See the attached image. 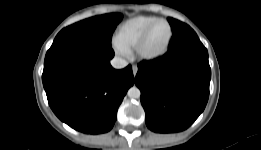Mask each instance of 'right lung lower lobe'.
<instances>
[{"instance_id":"98d812e1","label":"right lung lower lobe","mask_w":261,"mask_h":150,"mask_svg":"<svg viewBox=\"0 0 261 150\" xmlns=\"http://www.w3.org/2000/svg\"><path fill=\"white\" fill-rule=\"evenodd\" d=\"M111 45L64 42L51 46L42 74L48 103L56 116L87 134L111 130L127 90L134 84L132 67L110 65Z\"/></svg>"}]
</instances>
